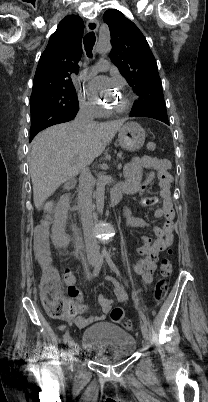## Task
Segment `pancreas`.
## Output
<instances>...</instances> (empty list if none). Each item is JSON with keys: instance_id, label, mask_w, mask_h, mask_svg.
Returning <instances> with one entry per match:
<instances>
[{"instance_id": "pancreas-1", "label": "pancreas", "mask_w": 208, "mask_h": 402, "mask_svg": "<svg viewBox=\"0 0 208 402\" xmlns=\"http://www.w3.org/2000/svg\"><path fill=\"white\" fill-rule=\"evenodd\" d=\"M118 158H122L123 154L122 152H119V154H117Z\"/></svg>"}]
</instances>
